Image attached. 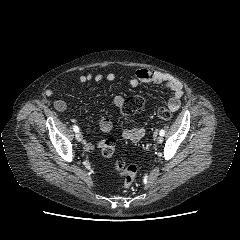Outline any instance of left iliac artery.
Returning <instances> with one entry per match:
<instances>
[{"instance_id":"44dca946","label":"left iliac artery","mask_w":240,"mask_h":240,"mask_svg":"<svg viewBox=\"0 0 240 240\" xmlns=\"http://www.w3.org/2000/svg\"><path fill=\"white\" fill-rule=\"evenodd\" d=\"M159 134H160V136H164L165 135V131L162 129V130H160Z\"/></svg>"}]
</instances>
